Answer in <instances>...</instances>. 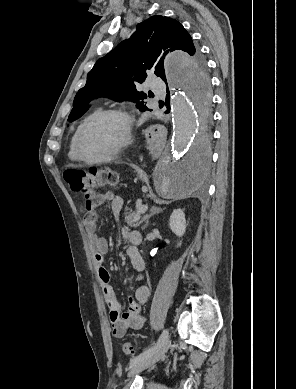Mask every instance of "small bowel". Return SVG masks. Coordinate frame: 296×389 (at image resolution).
I'll return each mask as SVG.
<instances>
[{
  "label": "small bowel",
  "instance_id": "1",
  "mask_svg": "<svg viewBox=\"0 0 296 389\" xmlns=\"http://www.w3.org/2000/svg\"><path fill=\"white\" fill-rule=\"evenodd\" d=\"M107 201H110L113 215L118 217L124 207V200L119 196H115L112 192H93L85 197L82 205L84 212L83 225L93 252V259L103 296L109 309L112 334L116 338H121L128 330L140 329L143 326L146 319L140 313L141 305L148 302L150 289L145 285H138L134 297H130L128 300L126 310L121 312L120 304L110 284V274L103 266L104 255L108 251V243L106 239L98 236L96 230L98 209ZM123 238L132 244L128 248L127 254L133 268L137 272V280L142 281L144 279L143 271L145 269V263L137 249V244L140 242V235L137 232L123 230Z\"/></svg>",
  "mask_w": 296,
  "mask_h": 389
}]
</instances>
